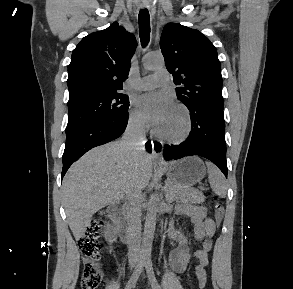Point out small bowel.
Wrapping results in <instances>:
<instances>
[{
  "mask_svg": "<svg viewBox=\"0 0 293 289\" xmlns=\"http://www.w3.org/2000/svg\"><path fill=\"white\" fill-rule=\"evenodd\" d=\"M175 215H185L191 218L194 226V237L201 244L200 249L190 252L189 240L174 227L173 222L168 226V235L176 243L170 254V264L174 271L183 272L192 259L198 261L195 273L199 280V287L203 289L206 283L205 267L208 265V254L212 249L216 232L214 221L207 217V210L201 205L183 204L175 207ZM203 281V284H201Z\"/></svg>",
  "mask_w": 293,
  "mask_h": 289,
  "instance_id": "small-bowel-1",
  "label": "small bowel"
}]
</instances>
